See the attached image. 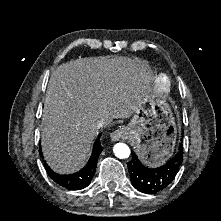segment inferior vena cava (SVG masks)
Listing matches in <instances>:
<instances>
[{
    "label": "inferior vena cava",
    "mask_w": 221,
    "mask_h": 221,
    "mask_svg": "<svg viewBox=\"0 0 221 221\" xmlns=\"http://www.w3.org/2000/svg\"><path fill=\"white\" fill-rule=\"evenodd\" d=\"M107 125H108V122L106 120H104V119H101L97 123L96 127H97V129H100V128L106 127Z\"/></svg>",
    "instance_id": "obj_1"
}]
</instances>
